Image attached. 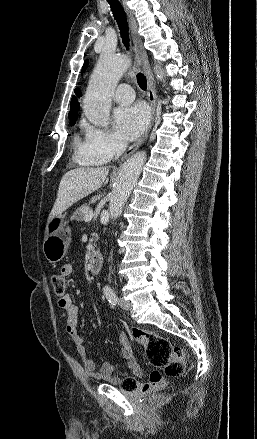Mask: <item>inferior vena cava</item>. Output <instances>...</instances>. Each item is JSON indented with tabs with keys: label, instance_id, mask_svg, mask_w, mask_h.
I'll return each instance as SVG.
<instances>
[{
	"label": "inferior vena cava",
	"instance_id": "1",
	"mask_svg": "<svg viewBox=\"0 0 257 439\" xmlns=\"http://www.w3.org/2000/svg\"><path fill=\"white\" fill-rule=\"evenodd\" d=\"M128 142L120 140L116 145V157H119L127 148Z\"/></svg>",
	"mask_w": 257,
	"mask_h": 439
}]
</instances>
